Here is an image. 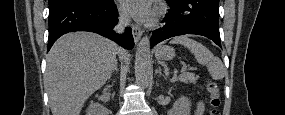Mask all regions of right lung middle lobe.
<instances>
[{"label":"right lung middle lobe","instance_id":"obj_1","mask_svg":"<svg viewBox=\"0 0 285 115\" xmlns=\"http://www.w3.org/2000/svg\"><path fill=\"white\" fill-rule=\"evenodd\" d=\"M63 0H49V7L53 6L54 4L61 2ZM87 2H91V3H95V4H101L103 2H105L106 0H85Z\"/></svg>","mask_w":285,"mask_h":115}]
</instances>
